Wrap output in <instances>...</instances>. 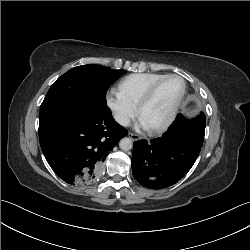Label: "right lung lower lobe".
<instances>
[{"instance_id": "right-lung-lower-lobe-1", "label": "right lung lower lobe", "mask_w": 250, "mask_h": 250, "mask_svg": "<svg viewBox=\"0 0 250 250\" xmlns=\"http://www.w3.org/2000/svg\"><path fill=\"white\" fill-rule=\"evenodd\" d=\"M127 135L107 106L72 103L39 118V141L54 172L69 184H89L109 151Z\"/></svg>"}]
</instances>
